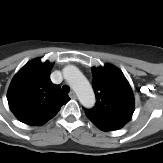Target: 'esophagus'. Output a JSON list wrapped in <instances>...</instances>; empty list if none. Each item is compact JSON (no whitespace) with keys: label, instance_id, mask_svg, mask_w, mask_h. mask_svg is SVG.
<instances>
[{"label":"esophagus","instance_id":"esophagus-1","mask_svg":"<svg viewBox=\"0 0 163 163\" xmlns=\"http://www.w3.org/2000/svg\"><path fill=\"white\" fill-rule=\"evenodd\" d=\"M69 97H70L71 99H76V98H77L76 93H75L74 91H71V92L69 93Z\"/></svg>","mask_w":163,"mask_h":163}]
</instances>
